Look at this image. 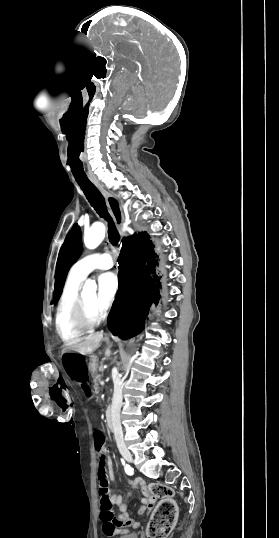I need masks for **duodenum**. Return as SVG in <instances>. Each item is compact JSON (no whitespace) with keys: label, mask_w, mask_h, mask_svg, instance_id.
I'll list each match as a JSON object with an SVG mask.
<instances>
[{"label":"duodenum","mask_w":279,"mask_h":538,"mask_svg":"<svg viewBox=\"0 0 279 538\" xmlns=\"http://www.w3.org/2000/svg\"><path fill=\"white\" fill-rule=\"evenodd\" d=\"M91 372L93 374H96L98 372V365H93V368L91 369ZM112 410L110 409V405H107V409L105 410L104 417L106 418V422L109 424V427H112L113 419L111 418Z\"/></svg>","instance_id":"duodenum-1"}]
</instances>
